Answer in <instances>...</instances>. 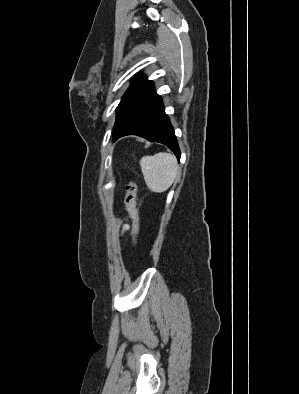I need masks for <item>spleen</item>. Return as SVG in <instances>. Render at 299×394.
I'll return each mask as SVG.
<instances>
[{"mask_svg":"<svg viewBox=\"0 0 299 394\" xmlns=\"http://www.w3.org/2000/svg\"><path fill=\"white\" fill-rule=\"evenodd\" d=\"M140 167L147 187L155 193L168 190L178 174L177 160L169 153L144 156Z\"/></svg>","mask_w":299,"mask_h":394,"instance_id":"3e777b00","label":"spleen"}]
</instances>
